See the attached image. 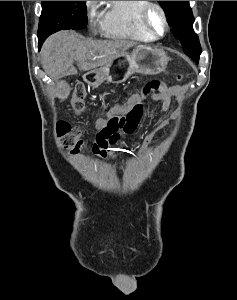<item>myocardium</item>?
I'll use <instances>...</instances> for the list:
<instances>
[{"label":"myocardium","mask_w":237,"mask_h":300,"mask_svg":"<svg viewBox=\"0 0 237 300\" xmlns=\"http://www.w3.org/2000/svg\"><path fill=\"white\" fill-rule=\"evenodd\" d=\"M155 11L159 14L163 29L158 31L151 22V13ZM141 17L146 29L155 37H163L169 31V22L165 9L156 1H147L141 11Z\"/></svg>","instance_id":"f54148a6"}]
</instances>
